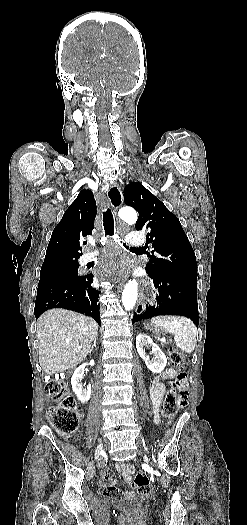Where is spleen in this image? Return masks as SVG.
<instances>
[{
    "instance_id": "spleen-1",
    "label": "spleen",
    "mask_w": 247,
    "mask_h": 525,
    "mask_svg": "<svg viewBox=\"0 0 247 525\" xmlns=\"http://www.w3.org/2000/svg\"><path fill=\"white\" fill-rule=\"evenodd\" d=\"M151 325L174 335V341L184 353H192L196 347V325L187 317H153Z\"/></svg>"
}]
</instances>
